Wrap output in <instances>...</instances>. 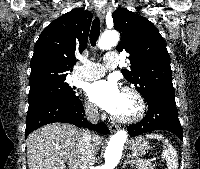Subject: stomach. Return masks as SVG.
<instances>
[{"instance_id":"stomach-1","label":"stomach","mask_w":200,"mask_h":169,"mask_svg":"<svg viewBox=\"0 0 200 169\" xmlns=\"http://www.w3.org/2000/svg\"><path fill=\"white\" fill-rule=\"evenodd\" d=\"M130 149L133 153L145 155L149 149V143L143 137H137L131 140Z\"/></svg>"}]
</instances>
